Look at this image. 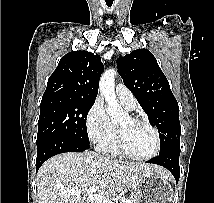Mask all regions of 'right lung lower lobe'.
I'll list each match as a JSON object with an SVG mask.
<instances>
[{"label": "right lung lower lobe", "mask_w": 214, "mask_h": 203, "mask_svg": "<svg viewBox=\"0 0 214 203\" xmlns=\"http://www.w3.org/2000/svg\"><path fill=\"white\" fill-rule=\"evenodd\" d=\"M87 144H81L65 139H51L37 146L36 170L50 157L65 152H82L89 148Z\"/></svg>", "instance_id": "1"}]
</instances>
